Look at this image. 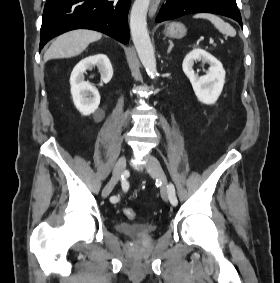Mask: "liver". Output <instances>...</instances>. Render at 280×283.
Masks as SVG:
<instances>
[{
	"label": "liver",
	"mask_w": 280,
	"mask_h": 283,
	"mask_svg": "<svg viewBox=\"0 0 280 283\" xmlns=\"http://www.w3.org/2000/svg\"><path fill=\"white\" fill-rule=\"evenodd\" d=\"M97 31L79 29L57 37L44 55V60L69 58L81 54L90 43L101 39Z\"/></svg>",
	"instance_id": "liver-1"
}]
</instances>
